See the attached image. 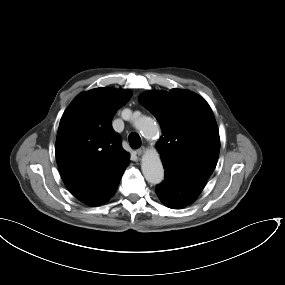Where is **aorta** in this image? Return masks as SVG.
<instances>
[{
  "label": "aorta",
  "instance_id": "762f6f07",
  "mask_svg": "<svg viewBox=\"0 0 285 285\" xmlns=\"http://www.w3.org/2000/svg\"><path fill=\"white\" fill-rule=\"evenodd\" d=\"M134 127L147 139H153L159 135L158 125L147 116L132 118ZM141 169L145 179L151 184H159L164 178V169L160 155L156 150L146 152L141 161Z\"/></svg>",
  "mask_w": 285,
  "mask_h": 285
}]
</instances>
